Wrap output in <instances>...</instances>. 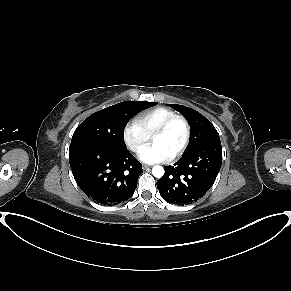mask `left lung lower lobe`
Segmentation results:
<instances>
[{"mask_svg": "<svg viewBox=\"0 0 291 291\" xmlns=\"http://www.w3.org/2000/svg\"><path fill=\"white\" fill-rule=\"evenodd\" d=\"M222 164L221 142L206 144L184 154L173 166H165L157 181L160 195L169 203L196 202L214 184Z\"/></svg>", "mask_w": 291, "mask_h": 291, "instance_id": "1", "label": "left lung lower lobe"}]
</instances>
